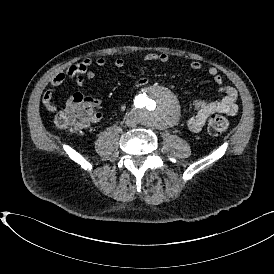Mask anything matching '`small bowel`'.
<instances>
[{"label":"small bowel","mask_w":274,"mask_h":274,"mask_svg":"<svg viewBox=\"0 0 274 274\" xmlns=\"http://www.w3.org/2000/svg\"><path fill=\"white\" fill-rule=\"evenodd\" d=\"M144 62H157V63H167L170 57L167 53H148L143 58ZM107 64L104 57H97L94 61L91 59H84L81 62L72 65L65 72L59 73L54 76L51 80V87L48 90L51 94L55 88L61 86L66 80L74 79L76 84L83 88L85 86V79H94L96 73L93 70V66L103 68ZM113 65L117 69H121L125 66V61L123 58H116ZM190 68L193 70H200L202 68V63L200 61H192L190 63ZM208 74L211 76L213 82L220 86L219 93L221 98L219 100H208L201 101L197 100L189 105V111L194 112V115L190 116L187 120V127L191 132L197 133L202 130L205 126L208 118L216 113L234 115L238 111V93L235 88L229 85H223V76L219 73L218 69L214 66H210L207 69ZM150 80L146 77L138 79L131 87V91L137 90L141 87L149 84ZM72 102H78L83 104L89 111L85 123L78 128L82 130L91 124L99 123L103 115L96 109L102 104V97H82L81 95H74L72 97ZM43 103L48 109H53L55 107V102L52 100L50 94H45L43 96ZM121 109H125V104L121 105Z\"/></svg>","instance_id":"small-bowel-1"}]
</instances>
